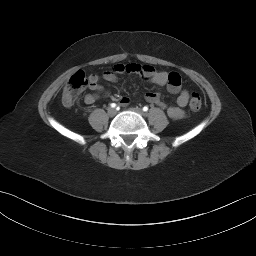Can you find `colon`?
<instances>
[{
    "label": "colon",
    "mask_w": 256,
    "mask_h": 256,
    "mask_svg": "<svg viewBox=\"0 0 256 256\" xmlns=\"http://www.w3.org/2000/svg\"><path fill=\"white\" fill-rule=\"evenodd\" d=\"M90 85V76H87L84 72H76L73 74L63 93H62V103L65 106L73 105L81 92ZM203 104V98L200 93L193 92L190 95L189 106L192 110H200Z\"/></svg>",
    "instance_id": "5ec220e1"
}]
</instances>
